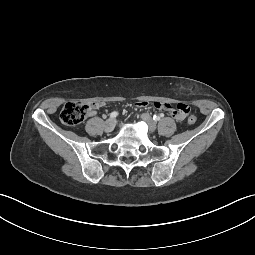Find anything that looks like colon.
Instances as JSON below:
<instances>
[{
    "label": "colon",
    "mask_w": 255,
    "mask_h": 255,
    "mask_svg": "<svg viewBox=\"0 0 255 255\" xmlns=\"http://www.w3.org/2000/svg\"><path fill=\"white\" fill-rule=\"evenodd\" d=\"M92 105L82 101H71L64 105L61 110L60 117L64 124L68 126H75L82 123L89 115ZM188 123L194 124L196 122L195 115L190 114L187 118Z\"/></svg>",
    "instance_id": "1"
}]
</instances>
